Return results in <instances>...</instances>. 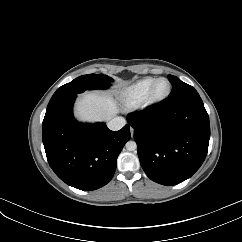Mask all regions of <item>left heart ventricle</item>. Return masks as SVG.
<instances>
[{
	"label": "left heart ventricle",
	"mask_w": 242,
	"mask_h": 242,
	"mask_svg": "<svg viewBox=\"0 0 242 242\" xmlns=\"http://www.w3.org/2000/svg\"><path fill=\"white\" fill-rule=\"evenodd\" d=\"M168 87V83L165 80L158 82V84L155 87V96L161 97L165 95L168 91Z\"/></svg>",
	"instance_id": "left-heart-ventricle-1"
}]
</instances>
